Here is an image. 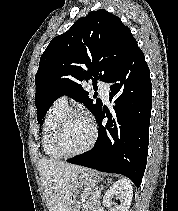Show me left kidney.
<instances>
[{"label":"left kidney","instance_id":"left-kidney-1","mask_svg":"<svg viewBox=\"0 0 178 211\" xmlns=\"http://www.w3.org/2000/svg\"><path fill=\"white\" fill-rule=\"evenodd\" d=\"M133 197V189L130 181L123 178L115 182L104 194L103 205L105 207H112L114 203L113 198L120 200L119 205H114L111 211H129Z\"/></svg>","mask_w":178,"mask_h":211}]
</instances>
